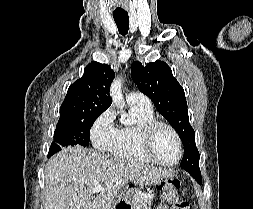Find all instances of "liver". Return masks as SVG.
Returning a JSON list of instances; mask_svg holds the SVG:
<instances>
[{
    "mask_svg": "<svg viewBox=\"0 0 253 209\" xmlns=\"http://www.w3.org/2000/svg\"><path fill=\"white\" fill-rule=\"evenodd\" d=\"M168 170L112 158L89 148H63L45 169L43 209H111L129 182L155 184L172 176ZM102 192H92L95 185Z\"/></svg>",
    "mask_w": 253,
    "mask_h": 209,
    "instance_id": "6515ba94",
    "label": "liver"
}]
</instances>
